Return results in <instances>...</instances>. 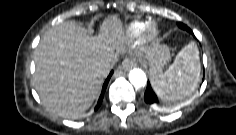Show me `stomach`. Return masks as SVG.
I'll use <instances>...</instances> for the list:
<instances>
[{"mask_svg": "<svg viewBox=\"0 0 236 135\" xmlns=\"http://www.w3.org/2000/svg\"><path fill=\"white\" fill-rule=\"evenodd\" d=\"M146 58L150 66V75L155 69L162 68L170 59L169 48L165 45L155 44L146 52Z\"/></svg>", "mask_w": 236, "mask_h": 135, "instance_id": "obj_1", "label": "stomach"}]
</instances>
